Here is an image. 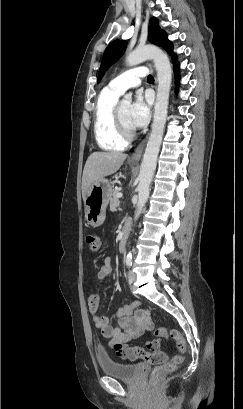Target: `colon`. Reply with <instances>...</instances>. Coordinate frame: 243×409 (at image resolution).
Masks as SVG:
<instances>
[{
    "label": "colon",
    "mask_w": 243,
    "mask_h": 409,
    "mask_svg": "<svg viewBox=\"0 0 243 409\" xmlns=\"http://www.w3.org/2000/svg\"><path fill=\"white\" fill-rule=\"evenodd\" d=\"M86 243L92 252H97L100 248L98 237L92 233L86 235ZM88 304L91 309H97L99 304V297L96 294L89 295ZM151 315H154V312H151ZM155 334L156 336L164 340H168L169 337L173 338L176 341L178 349V353L175 354L171 359L163 360L153 369L151 373V379L155 384H158L166 375L173 372L178 364L183 362L184 355L187 351V345L185 340L177 330L173 329L170 333H168L166 329L159 328L155 331Z\"/></svg>",
    "instance_id": "obj_1"
}]
</instances>
